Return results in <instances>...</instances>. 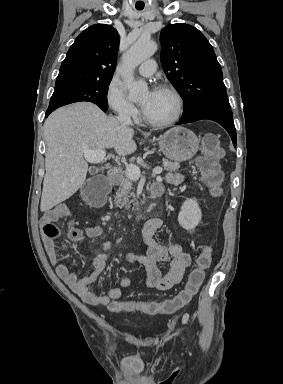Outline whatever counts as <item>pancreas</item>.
<instances>
[{"label":"pancreas","instance_id":"cf45deb5","mask_svg":"<svg viewBox=\"0 0 283 384\" xmlns=\"http://www.w3.org/2000/svg\"><path fill=\"white\" fill-rule=\"evenodd\" d=\"M163 166L166 172H177V170L180 168L176 162H168V160H163ZM108 176L109 180L116 178V176H118L120 180V188L114 200L115 208H126V210H129L130 204H132V202H136L135 194H131L130 192V190H133V188H131V186H133V180H130L126 172H122V168H114V170H109ZM128 194L133 196L134 200H129L130 196H128ZM136 204H138V202H136Z\"/></svg>","mask_w":283,"mask_h":384}]
</instances>
